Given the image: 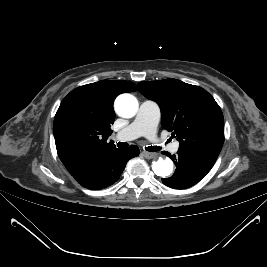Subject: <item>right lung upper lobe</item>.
<instances>
[{
	"instance_id": "obj_1",
	"label": "right lung upper lobe",
	"mask_w": 267,
	"mask_h": 267,
	"mask_svg": "<svg viewBox=\"0 0 267 267\" xmlns=\"http://www.w3.org/2000/svg\"><path fill=\"white\" fill-rule=\"evenodd\" d=\"M136 90L131 81L102 80L80 86L63 99L53 133L58 155L70 174L92 156L116 149L106 142L115 119L113 102L119 94Z\"/></svg>"
}]
</instances>
